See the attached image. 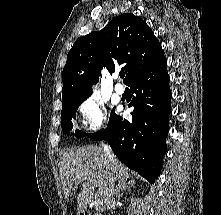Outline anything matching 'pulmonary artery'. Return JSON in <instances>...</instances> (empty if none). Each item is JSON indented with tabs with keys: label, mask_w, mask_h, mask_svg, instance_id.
I'll list each match as a JSON object with an SVG mask.
<instances>
[{
	"label": "pulmonary artery",
	"mask_w": 221,
	"mask_h": 215,
	"mask_svg": "<svg viewBox=\"0 0 221 215\" xmlns=\"http://www.w3.org/2000/svg\"><path fill=\"white\" fill-rule=\"evenodd\" d=\"M115 91H116V93H118V94H123L124 91H125V88H124V86H123L121 83H116V85H115Z\"/></svg>",
	"instance_id": "pulmonary-artery-1"
}]
</instances>
